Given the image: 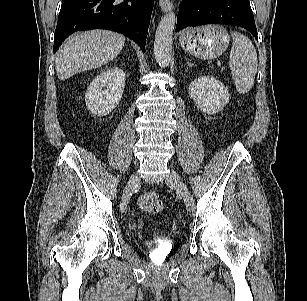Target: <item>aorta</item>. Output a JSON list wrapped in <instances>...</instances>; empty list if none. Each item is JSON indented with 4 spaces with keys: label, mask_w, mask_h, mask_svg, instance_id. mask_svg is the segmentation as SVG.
Listing matches in <instances>:
<instances>
[{
    "label": "aorta",
    "mask_w": 307,
    "mask_h": 301,
    "mask_svg": "<svg viewBox=\"0 0 307 301\" xmlns=\"http://www.w3.org/2000/svg\"><path fill=\"white\" fill-rule=\"evenodd\" d=\"M175 24L176 15L173 11L166 13L158 24L154 41V55L160 67H167L170 63Z\"/></svg>",
    "instance_id": "762f6f07"
}]
</instances>
